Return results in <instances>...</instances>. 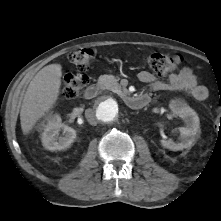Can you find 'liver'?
<instances>
[{"mask_svg":"<svg viewBox=\"0 0 221 221\" xmlns=\"http://www.w3.org/2000/svg\"><path fill=\"white\" fill-rule=\"evenodd\" d=\"M62 66L50 64L43 67L30 82L20 110L21 129L28 134L56 103L61 87Z\"/></svg>","mask_w":221,"mask_h":221,"instance_id":"1","label":"liver"}]
</instances>
